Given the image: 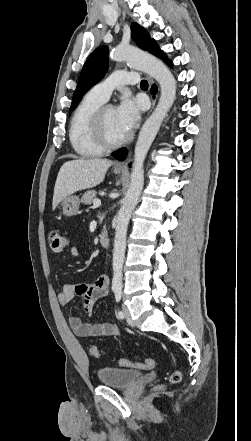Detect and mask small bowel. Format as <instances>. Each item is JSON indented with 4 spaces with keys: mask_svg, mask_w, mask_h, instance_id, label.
<instances>
[{
    "mask_svg": "<svg viewBox=\"0 0 251 441\" xmlns=\"http://www.w3.org/2000/svg\"><path fill=\"white\" fill-rule=\"evenodd\" d=\"M71 254L78 256L79 251L76 247H71ZM109 278L107 275H101L93 283L65 284L62 291L57 294L58 302L66 306L75 296L82 298L84 310L90 314L93 304L99 299L108 295ZM68 324L76 336H116L119 330L116 325L110 322L85 323L78 316L68 317Z\"/></svg>",
    "mask_w": 251,
    "mask_h": 441,
    "instance_id": "small-bowel-1",
    "label": "small bowel"
}]
</instances>
